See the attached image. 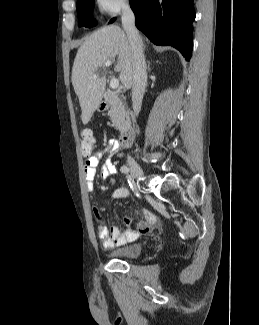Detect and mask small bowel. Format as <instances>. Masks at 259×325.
I'll list each match as a JSON object with an SVG mask.
<instances>
[{"label":"small bowel","mask_w":259,"mask_h":325,"mask_svg":"<svg viewBox=\"0 0 259 325\" xmlns=\"http://www.w3.org/2000/svg\"><path fill=\"white\" fill-rule=\"evenodd\" d=\"M119 151V145L117 142H110L105 148L99 150L92 155H90L84 163V175L86 180V188L89 192H93L95 189L94 180L97 173V167L99 165L100 160L108 154H116ZM117 174V169L115 163L112 159H107L100 167V177L102 179H108ZM129 196V191L125 187L116 188L112 195V199H122ZM109 200H103L102 204L107 205ZM94 214L97 217L99 223L97 226V234L98 237L106 249H111L117 246L124 245L127 242L135 240L139 236V231L128 228L125 232H122L121 229L114 225L110 229L102 222L101 211L99 208H94ZM146 221H151L154 217L146 212L145 213ZM125 223L129 224L131 219L126 217Z\"/></svg>","instance_id":"small-bowel-1"}]
</instances>
